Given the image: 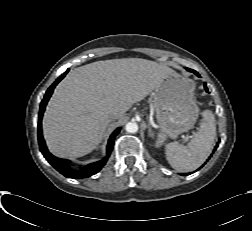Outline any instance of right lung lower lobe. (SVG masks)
Here are the masks:
<instances>
[{"instance_id":"98d812e1","label":"right lung lower lobe","mask_w":252,"mask_h":231,"mask_svg":"<svg viewBox=\"0 0 252 231\" xmlns=\"http://www.w3.org/2000/svg\"><path fill=\"white\" fill-rule=\"evenodd\" d=\"M69 69L62 74L46 91V94L41 102L40 105V111H39V122H38V140H39V147L40 151L46 158V160L56 169L58 170L61 174L68 178H74V179H82V178H87L90 177L94 174H96L98 171L102 169V167L106 164L110 152L112 150V146L114 145V139L116 135L120 132V128H117L112 135L109 138L108 145H107V155L100 161L89 164L84 166L82 169L79 171H75L69 167V160L65 159H59L53 156L47 149L45 141L42 136V116L46 107V104L50 98V96L53 93V90L55 86L64 78V76L68 73Z\"/></svg>"}]
</instances>
